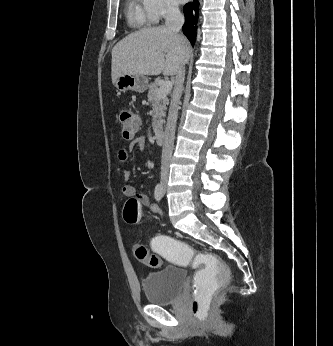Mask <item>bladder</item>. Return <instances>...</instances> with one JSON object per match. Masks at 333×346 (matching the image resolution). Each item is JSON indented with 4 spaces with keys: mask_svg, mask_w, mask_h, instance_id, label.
<instances>
[{
    "mask_svg": "<svg viewBox=\"0 0 333 346\" xmlns=\"http://www.w3.org/2000/svg\"><path fill=\"white\" fill-rule=\"evenodd\" d=\"M186 278L183 268L167 266L160 271L147 274L142 288L147 301L153 305H165L176 300Z\"/></svg>",
    "mask_w": 333,
    "mask_h": 346,
    "instance_id": "1",
    "label": "bladder"
}]
</instances>
